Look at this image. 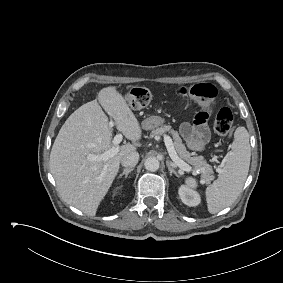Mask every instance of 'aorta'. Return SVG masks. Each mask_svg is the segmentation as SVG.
I'll return each mask as SVG.
<instances>
[{"mask_svg":"<svg viewBox=\"0 0 283 283\" xmlns=\"http://www.w3.org/2000/svg\"><path fill=\"white\" fill-rule=\"evenodd\" d=\"M159 161L157 158L155 157H149L145 160L144 166L146 168V170L151 171V172H155L159 169Z\"/></svg>","mask_w":283,"mask_h":283,"instance_id":"obj_1","label":"aorta"}]
</instances>
